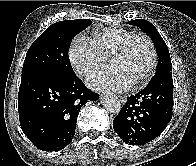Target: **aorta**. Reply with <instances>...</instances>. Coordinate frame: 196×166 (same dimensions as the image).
<instances>
[{
  "label": "aorta",
  "mask_w": 196,
  "mask_h": 166,
  "mask_svg": "<svg viewBox=\"0 0 196 166\" xmlns=\"http://www.w3.org/2000/svg\"><path fill=\"white\" fill-rule=\"evenodd\" d=\"M103 105L112 114H118L121 110V103L118 97L113 94H108L103 98Z\"/></svg>",
  "instance_id": "1"
}]
</instances>
